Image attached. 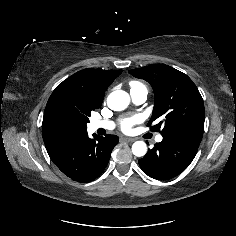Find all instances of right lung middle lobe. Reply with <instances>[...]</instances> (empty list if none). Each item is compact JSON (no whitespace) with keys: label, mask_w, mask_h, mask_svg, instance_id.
<instances>
[{"label":"right lung middle lobe","mask_w":236,"mask_h":236,"mask_svg":"<svg viewBox=\"0 0 236 236\" xmlns=\"http://www.w3.org/2000/svg\"><path fill=\"white\" fill-rule=\"evenodd\" d=\"M93 109H80L71 105L64 98H57L53 106V116L62 125L86 130L88 117Z\"/></svg>","instance_id":"obj_1"}]
</instances>
